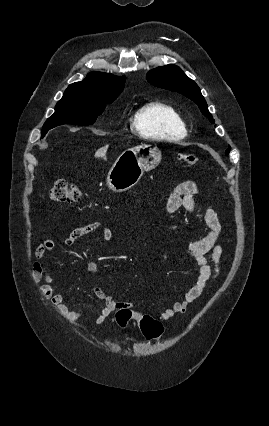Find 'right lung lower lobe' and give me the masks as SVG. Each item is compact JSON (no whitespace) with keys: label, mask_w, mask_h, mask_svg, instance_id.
<instances>
[{"label":"right lung lower lobe","mask_w":269,"mask_h":426,"mask_svg":"<svg viewBox=\"0 0 269 426\" xmlns=\"http://www.w3.org/2000/svg\"><path fill=\"white\" fill-rule=\"evenodd\" d=\"M45 134H46V133H42V137H44V136H45Z\"/></svg>","instance_id":"right-lung-lower-lobe-1"}]
</instances>
